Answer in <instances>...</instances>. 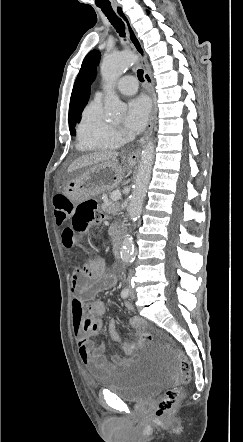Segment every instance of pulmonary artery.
Returning a JSON list of instances; mask_svg holds the SVG:
<instances>
[{
	"label": "pulmonary artery",
	"instance_id": "obj_1",
	"mask_svg": "<svg viewBox=\"0 0 243 442\" xmlns=\"http://www.w3.org/2000/svg\"><path fill=\"white\" fill-rule=\"evenodd\" d=\"M116 89L125 95L134 94L137 91V80L133 76H124L116 83ZM96 99L102 98V93L95 94Z\"/></svg>",
	"mask_w": 243,
	"mask_h": 442
}]
</instances>
